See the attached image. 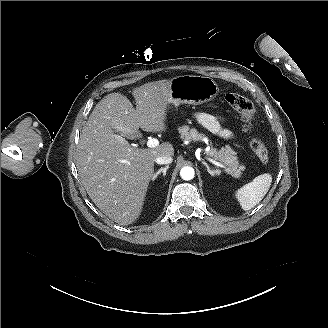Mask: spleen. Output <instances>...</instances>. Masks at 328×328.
<instances>
[{
	"instance_id": "obj_1",
	"label": "spleen",
	"mask_w": 328,
	"mask_h": 328,
	"mask_svg": "<svg viewBox=\"0 0 328 328\" xmlns=\"http://www.w3.org/2000/svg\"><path fill=\"white\" fill-rule=\"evenodd\" d=\"M271 182L272 176L265 173L255 177L252 182L238 189L236 198L242 209L247 211L255 207L268 192Z\"/></svg>"
}]
</instances>
